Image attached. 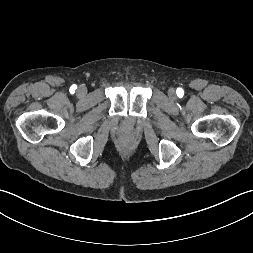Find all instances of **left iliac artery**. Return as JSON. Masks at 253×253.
<instances>
[{
	"instance_id": "44dca946",
	"label": "left iliac artery",
	"mask_w": 253,
	"mask_h": 253,
	"mask_svg": "<svg viewBox=\"0 0 253 253\" xmlns=\"http://www.w3.org/2000/svg\"><path fill=\"white\" fill-rule=\"evenodd\" d=\"M176 92H177V95H178L179 97H182L183 94H184V91H183L182 88H178Z\"/></svg>"
}]
</instances>
